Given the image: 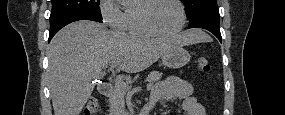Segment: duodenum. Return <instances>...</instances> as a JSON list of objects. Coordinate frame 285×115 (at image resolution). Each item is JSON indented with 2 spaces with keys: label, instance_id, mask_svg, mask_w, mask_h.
<instances>
[{
  "label": "duodenum",
  "instance_id": "duodenum-1",
  "mask_svg": "<svg viewBox=\"0 0 285 115\" xmlns=\"http://www.w3.org/2000/svg\"><path fill=\"white\" fill-rule=\"evenodd\" d=\"M112 91V85L110 83H102L99 86V93L101 96L105 97L107 95H109V93ZM150 108L147 109V111H149ZM149 112H147L148 114Z\"/></svg>",
  "mask_w": 285,
  "mask_h": 115
}]
</instances>
